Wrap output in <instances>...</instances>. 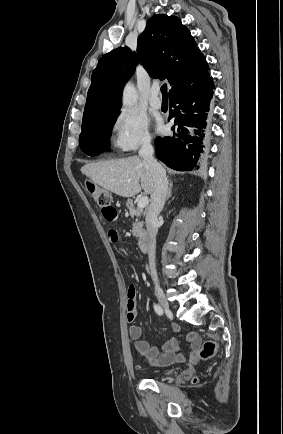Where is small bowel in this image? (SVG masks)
<instances>
[{
    "label": "small bowel",
    "mask_w": 283,
    "mask_h": 434,
    "mask_svg": "<svg viewBox=\"0 0 283 434\" xmlns=\"http://www.w3.org/2000/svg\"><path fill=\"white\" fill-rule=\"evenodd\" d=\"M101 212L105 220L115 221L117 219V210L113 206L101 207ZM119 231L115 228L108 231V240L115 243L119 239ZM127 321L130 324L129 335L134 342L133 346L136 353L145 361L155 366H168L173 363H182L188 359L190 362L196 363L199 361L198 349L201 345V339L195 332H190L186 336L187 342L191 346V352L186 355L185 353L178 352L179 344L176 338H169L161 347L151 346L147 339L142 338V328L135 324L137 317L136 308V289L133 285L127 289ZM174 332L180 330L177 324L172 325Z\"/></svg>",
    "instance_id": "small-bowel-1"
}]
</instances>
